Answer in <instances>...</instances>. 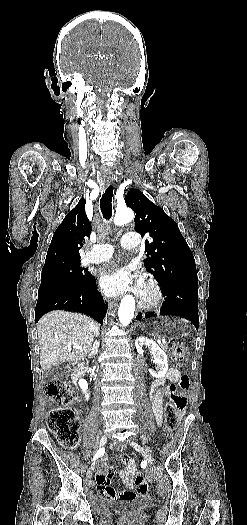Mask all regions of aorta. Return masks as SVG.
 I'll return each instance as SVG.
<instances>
[{
  "instance_id": "762f6f07",
  "label": "aorta",
  "mask_w": 247,
  "mask_h": 525,
  "mask_svg": "<svg viewBox=\"0 0 247 525\" xmlns=\"http://www.w3.org/2000/svg\"><path fill=\"white\" fill-rule=\"evenodd\" d=\"M134 219V212L129 208L119 209L115 213L114 224L117 226L124 225ZM135 311V300L132 295L123 297L118 309L119 321L123 326L130 324Z\"/></svg>"
}]
</instances>
